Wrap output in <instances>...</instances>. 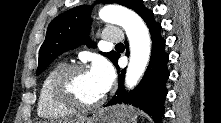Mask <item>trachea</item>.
Instances as JSON below:
<instances>
[{
	"label": "trachea",
	"mask_w": 221,
	"mask_h": 123,
	"mask_svg": "<svg viewBox=\"0 0 221 123\" xmlns=\"http://www.w3.org/2000/svg\"><path fill=\"white\" fill-rule=\"evenodd\" d=\"M117 47H122V46H124L122 43H118L117 45H116Z\"/></svg>",
	"instance_id": "trachea-1"
}]
</instances>
